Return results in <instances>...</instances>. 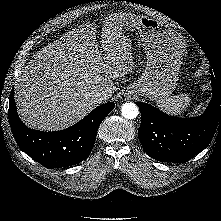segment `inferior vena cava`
Returning <instances> with one entry per match:
<instances>
[{"mask_svg":"<svg viewBox=\"0 0 221 221\" xmlns=\"http://www.w3.org/2000/svg\"><path fill=\"white\" fill-rule=\"evenodd\" d=\"M92 98L96 100L97 102H101L108 98V94L104 90L94 91L92 93Z\"/></svg>","mask_w":221,"mask_h":221,"instance_id":"602c4592","label":"inferior vena cava"}]
</instances>
